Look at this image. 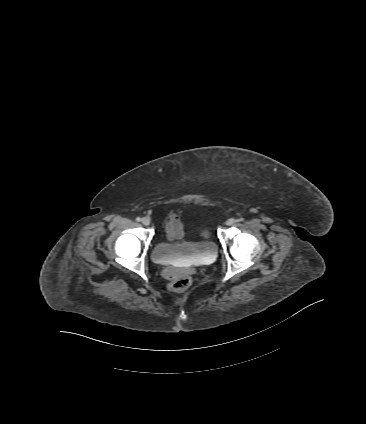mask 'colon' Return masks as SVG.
Masks as SVG:
<instances>
[{
	"instance_id": "5ec220e1",
	"label": "colon",
	"mask_w": 366,
	"mask_h": 424,
	"mask_svg": "<svg viewBox=\"0 0 366 424\" xmlns=\"http://www.w3.org/2000/svg\"><path fill=\"white\" fill-rule=\"evenodd\" d=\"M204 235H207V233H204ZM191 284V278L189 276H182L176 280H174L170 285L169 289L170 291L174 293H181L186 291Z\"/></svg>"
}]
</instances>
